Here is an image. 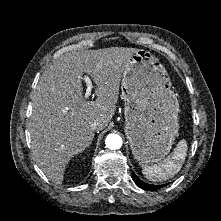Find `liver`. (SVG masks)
<instances>
[{
	"instance_id": "liver-1",
	"label": "liver",
	"mask_w": 221,
	"mask_h": 221,
	"mask_svg": "<svg viewBox=\"0 0 221 221\" xmlns=\"http://www.w3.org/2000/svg\"><path fill=\"white\" fill-rule=\"evenodd\" d=\"M138 50L72 51L43 72L32 97L29 132L33 158L53 183H62L69 161L91 144V124L98 121L101 131L111 121L126 63ZM83 73L96 84L95 101L83 97Z\"/></svg>"
}]
</instances>
